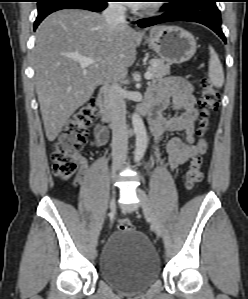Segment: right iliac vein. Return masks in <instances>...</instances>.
I'll return each instance as SVG.
<instances>
[{
  "label": "right iliac vein",
  "mask_w": 248,
  "mask_h": 299,
  "mask_svg": "<svg viewBox=\"0 0 248 299\" xmlns=\"http://www.w3.org/2000/svg\"><path fill=\"white\" fill-rule=\"evenodd\" d=\"M116 179V175L115 173H113L112 175V180L114 181ZM115 190H114V186H112V198L110 200V209H114L115 208Z\"/></svg>",
  "instance_id": "1"
}]
</instances>
